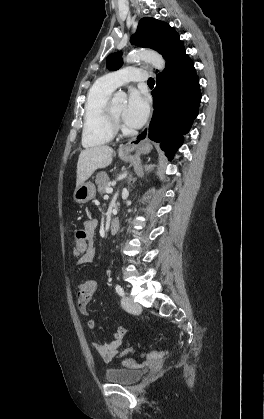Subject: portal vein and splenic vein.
<instances>
[{
  "label": "portal vein and splenic vein",
  "instance_id": "1",
  "mask_svg": "<svg viewBox=\"0 0 264 419\" xmlns=\"http://www.w3.org/2000/svg\"><path fill=\"white\" fill-rule=\"evenodd\" d=\"M113 192V189L111 188V187H108L107 189H106V193L107 194H110V193H112Z\"/></svg>",
  "mask_w": 264,
  "mask_h": 419
}]
</instances>
